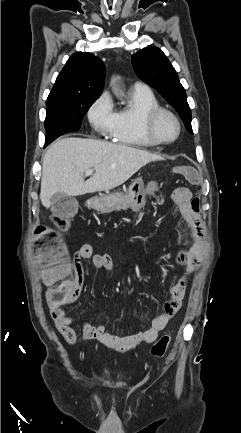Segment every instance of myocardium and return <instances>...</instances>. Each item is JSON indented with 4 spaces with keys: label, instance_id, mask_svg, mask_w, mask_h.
I'll list each match as a JSON object with an SVG mask.
<instances>
[{
    "label": "myocardium",
    "instance_id": "1",
    "mask_svg": "<svg viewBox=\"0 0 241 433\" xmlns=\"http://www.w3.org/2000/svg\"><path fill=\"white\" fill-rule=\"evenodd\" d=\"M163 115L169 116L176 124L177 132L174 138L170 140L161 139L156 132V124ZM143 128L148 139L156 145H168L174 143L181 134V123L178 116L171 110L164 107H156L149 110L143 120Z\"/></svg>",
    "mask_w": 241,
    "mask_h": 433
}]
</instances>
